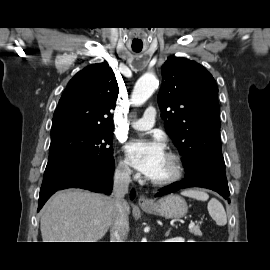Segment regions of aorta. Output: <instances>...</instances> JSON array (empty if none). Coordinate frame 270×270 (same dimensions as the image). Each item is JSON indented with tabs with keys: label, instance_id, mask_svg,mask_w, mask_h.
<instances>
[{
	"label": "aorta",
	"instance_id": "aorta-1",
	"mask_svg": "<svg viewBox=\"0 0 270 270\" xmlns=\"http://www.w3.org/2000/svg\"><path fill=\"white\" fill-rule=\"evenodd\" d=\"M158 87V80L153 74H145L138 79L132 92V102L141 105L146 102Z\"/></svg>",
	"mask_w": 270,
	"mask_h": 270
}]
</instances>
